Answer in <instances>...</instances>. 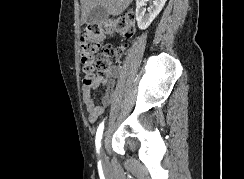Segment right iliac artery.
<instances>
[{
    "mask_svg": "<svg viewBox=\"0 0 244 179\" xmlns=\"http://www.w3.org/2000/svg\"><path fill=\"white\" fill-rule=\"evenodd\" d=\"M103 129H104V122H102L98 129H97V132H96V140H95V143H96V149H97V152L99 153V149L101 147V139H102V134H103Z\"/></svg>",
    "mask_w": 244,
    "mask_h": 179,
    "instance_id": "right-iliac-artery-1",
    "label": "right iliac artery"
}]
</instances>
